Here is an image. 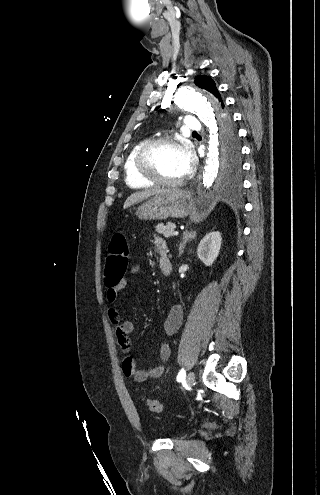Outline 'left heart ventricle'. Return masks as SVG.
Returning a JSON list of instances; mask_svg holds the SVG:
<instances>
[{
  "label": "left heart ventricle",
  "instance_id": "left-heart-ventricle-1",
  "mask_svg": "<svg viewBox=\"0 0 320 495\" xmlns=\"http://www.w3.org/2000/svg\"><path fill=\"white\" fill-rule=\"evenodd\" d=\"M186 151L172 145L157 148L150 157L154 171L162 178L177 180L185 175L184 157Z\"/></svg>",
  "mask_w": 320,
  "mask_h": 495
}]
</instances>
